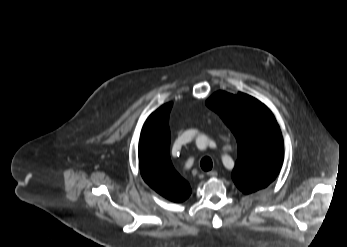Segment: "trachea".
<instances>
[{
    "mask_svg": "<svg viewBox=\"0 0 347 247\" xmlns=\"http://www.w3.org/2000/svg\"><path fill=\"white\" fill-rule=\"evenodd\" d=\"M201 168L204 170V171H209L212 169V166H213V163H212V160L209 158V157H204L202 160H201Z\"/></svg>",
    "mask_w": 347,
    "mask_h": 247,
    "instance_id": "3493384b",
    "label": "trachea"
}]
</instances>
